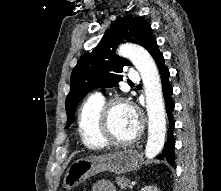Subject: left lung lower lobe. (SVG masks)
<instances>
[{
	"instance_id": "left-lung-lower-lobe-1",
	"label": "left lung lower lobe",
	"mask_w": 221,
	"mask_h": 191,
	"mask_svg": "<svg viewBox=\"0 0 221 191\" xmlns=\"http://www.w3.org/2000/svg\"><path fill=\"white\" fill-rule=\"evenodd\" d=\"M148 51L152 55V57L155 59V62L157 64V67L161 76V83H162L163 95L165 99L166 112H167L168 121H169L167 139L161 151L160 156H158V159L166 160L168 163L173 164L175 160V152H174L175 140L173 136L174 120L172 117L174 103L172 102V99H171L173 88L170 85L169 79H168L169 70L164 64L163 55L159 51V48L155 39L150 44Z\"/></svg>"
}]
</instances>
